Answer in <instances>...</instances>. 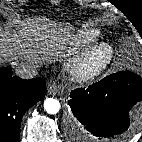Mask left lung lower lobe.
I'll return each mask as SVG.
<instances>
[{
	"label": "left lung lower lobe",
	"instance_id": "0a47b994",
	"mask_svg": "<svg viewBox=\"0 0 142 142\" xmlns=\"http://www.w3.org/2000/svg\"><path fill=\"white\" fill-rule=\"evenodd\" d=\"M70 97L71 111L84 128V133L72 135L75 140L122 142L130 135V112L142 101V78L120 71L87 89L73 90Z\"/></svg>",
	"mask_w": 142,
	"mask_h": 142
}]
</instances>
